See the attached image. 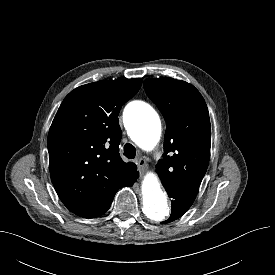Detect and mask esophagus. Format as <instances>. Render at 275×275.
I'll return each instance as SVG.
<instances>
[{
    "mask_svg": "<svg viewBox=\"0 0 275 275\" xmlns=\"http://www.w3.org/2000/svg\"><path fill=\"white\" fill-rule=\"evenodd\" d=\"M135 162H136L137 166L142 170H144L148 167L147 161L143 158H137V159H135Z\"/></svg>",
    "mask_w": 275,
    "mask_h": 275,
    "instance_id": "obj_1",
    "label": "esophagus"
}]
</instances>
